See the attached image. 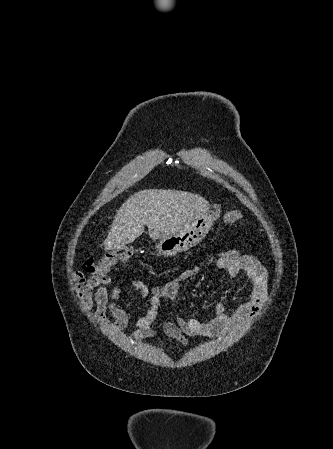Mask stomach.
I'll list each match as a JSON object with an SVG mask.
<instances>
[{
    "label": "stomach",
    "mask_w": 333,
    "mask_h": 449,
    "mask_svg": "<svg viewBox=\"0 0 333 449\" xmlns=\"http://www.w3.org/2000/svg\"><path fill=\"white\" fill-rule=\"evenodd\" d=\"M219 215L213 211H205L176 233H171L158 240L155 248L165 256L185 252L205 238Z\"/></svg>",
    "instance_id": "obj_1"
}]
</instances>
